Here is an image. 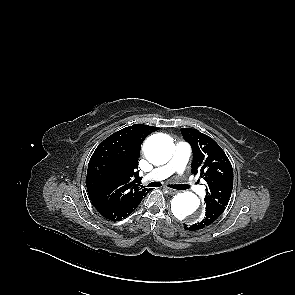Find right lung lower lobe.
Instances as JSON below:
<instances>
[{"instance_id":"98d812e1","label":"right lung lower lobe","mask_w":295,"mask_h":295,"mask_svg":"<svg viewBox=\"0 0 295 295\" xmlns=\"http://www.w3.org/2000/svg\"><path fill=\"white\" fill-rule=\"evenodd\" d=\"M146 194L147 193L141 195L132 202L123 205L110 206L101 203H93V205L95 206L97 211L106 219L119 221L131 214L132 211L138 207L141 200L146 196Z\"/></svg>"}]
</instances>
